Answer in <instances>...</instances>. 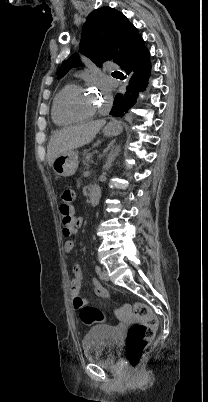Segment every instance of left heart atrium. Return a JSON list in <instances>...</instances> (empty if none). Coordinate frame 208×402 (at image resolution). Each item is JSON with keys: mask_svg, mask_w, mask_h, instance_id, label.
Listing matches in <instances>:
<instances>
[{"mask_svg": "<svg viewBox=\"0 0 208 402\" xmlns=\"http://www.w3.org/2000/svg\"><path fill=\"white\" fill-rule=\"evenodd\" d=\"M103 90L107 92V91H108V87H107V86H103Z\"/></svg>", "mask_w": 208, "mask_h": 402, "instance_id": "1", "label": "left heart atrium"}]
</instances>
